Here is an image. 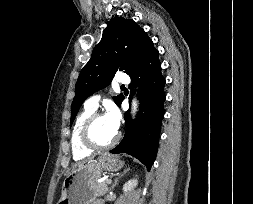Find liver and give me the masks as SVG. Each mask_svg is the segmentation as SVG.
Instances as JSON below:
<instances>
[{
	"mask_svg": "<svg viewBox=\"0 0 253 204\" xmlns=\"http://www.w3.org/2000/svg\"><path fill=\"white\" fill-rule=\"evenodd\" d=\"M91 161H93V158H90V159H88L87 161L79 162V163L73 165V168H76V167H78V166H80V165H83V164L88 163V162H91Z\"/></svg>",
	"mask_w": 253,
	"mask_h": 204,
	"instance_id": "liver-1",
	"label": "liver"
}]
</instances>
